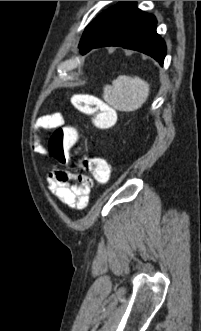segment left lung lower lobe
<instances>
[{
    "label": "left lung lower lobe",
    "instance_id": "0a47b994",
    "mask_svg": "<svg viewBox=\"0 0 201 331\" xmlns=\"http://www.w3.org/2000/svg\"><path fill=\"white\" fill-rule=\"evenodd\" d=\"M156 23L155 17L138 9L135 1H121L79 44L80 52L86 54L93 48L122 46L150 55L163 66L166 45L156 33Z\"/></svg>",
    "mask_w": 201,
    "mask_h": 331
}]
</instances>
